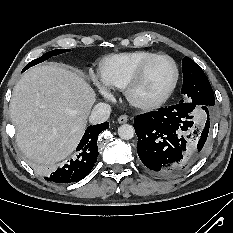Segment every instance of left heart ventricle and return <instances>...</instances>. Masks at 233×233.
I'll return each instance as SVG.
<instances>
[{"instance_id":"b2bd125f","label":"left heart ventricle","mask_w":233,"mask_h":233,"mask_svg":"<svg viewBox=\"0 0 233 233\" xmlns=\"http://www.w3.org/2000/svg\"><path fill=\"white\" fill-rule=\"evenodd\" d=\"M173 78V66L170 60L161 58L153 62L146 70L135 91L139 100H151L158 97Z\"/></svg>"}]
</instances>
